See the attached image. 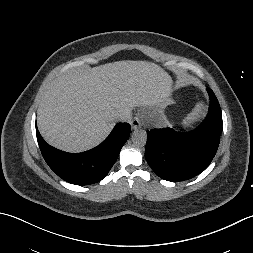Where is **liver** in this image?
I'll use <instances>...</instances> for the list:
<instances>
[{
	"instance_id": "obj_1",
	"label": "liver",
	"mask_w": 253,
	"mask_h": 253,
	"mask_svg": "<svg viewBox=\"0 0 253 253\" xmlns=\"http://www.w3.org/2000/svg\"><path fill=\"white\" fill-rule=\"evenodd\" d=\"M172 84L166 71L147 61L124 60L72 69L53 81L43 95L38 129L60 150H89L110 134L117 113L165 102Z\"/></svg>"
}]
</instances>
